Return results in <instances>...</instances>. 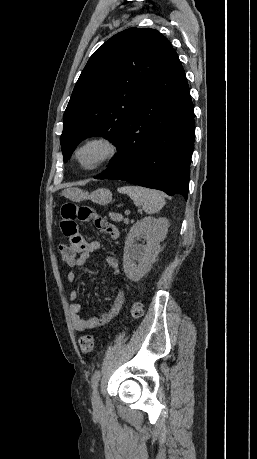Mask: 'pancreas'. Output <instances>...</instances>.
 Masks as SVG:
<instances>
[{
    "label": "pancreas",
    "mask_w": 257,
    "mask_h": 459,
    "mask_svg": "<svg viewBox=\"0 0 257 459\" xmlns=\"http://www.w3.org/2000/svg\"><path fill=\"white\" fill-rule=\"evenodd\" d=\"M109 216H110V219L114 222H120L123 219L121 214L114 213V212H110Z\"/></svg>",
    "instance_id": "1"
}]
</instances>
